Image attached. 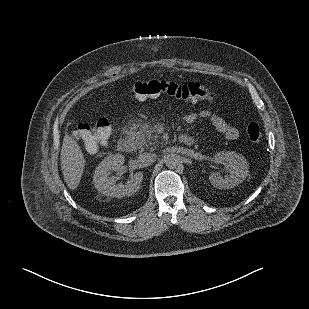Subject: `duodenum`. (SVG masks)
<instances>
[{
	"mask_svg": "<svg viewBox=\"0 0 309 309\" xmlns=\"http://www.w3.org/2000/svg\"><path fill=\"white\" fill-rule=\"evenodd\" d=\"M179 141L186 145H192L193 139L190 136L182 135L179 137ZM117 148L119 151L129 153L132 151L131 141L127 138H120L117 142Z\"/></svg>",
	"mask_w": 309,
	"mask_h": 309,
	"instance_id": "410a0bca",
	"label": "duodenum"
}]
</instances>
